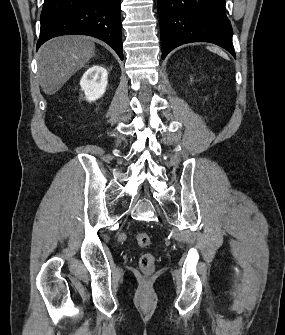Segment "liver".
Listing matches in <instances>:
<instances>
[{"instance_id": "1", "label": "liver", "mask_w": 285, "mask_h": 335, "mask_svg": "<svg viewBox=\"0 0 285 335\" xmlns=\"http://www.w3.org/2000/svg\"><path fill=\"white\" fill-rule=\"evenodd\" d=\"M94 54L95 44L88 36H61L41 46L38 76L43 92L48 96L56 94Z\"/></svg>"}]
</instances>
